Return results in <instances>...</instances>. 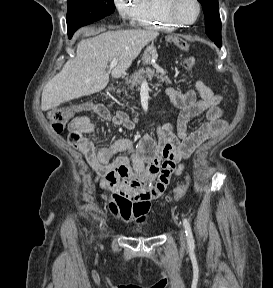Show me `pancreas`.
I'll return each instance as SVG.
<instances>
[{
    "instance_id": "cf45deb5",
    "label": "pancreas",
    "mask_w": 273,
    "mask_h": 288,
    "mask_svg": "<svg viewBox=\"0 0 273 288\" xmlns=\"http://www.w3.org/2000/svg\"><path fill=\"white\" fill-rule=\"evenodd\" d=\"M166 71L163 69H140L138 72H135L126 82L128 89L134 90L138 89L139 86L146 81V79L151 80L153 77H156L159 80V83H170L169 77L166 75ZM127 94V93H125Z\"/></svg>"
}]
</instances>
